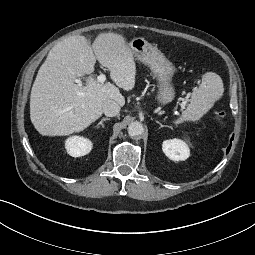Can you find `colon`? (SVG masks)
<instances>
[{
  "label": "colon",
  "instance_id": "obj_1",
  "mask_svg": "<svg viewBox=\"0 0 255 255\" xmlns=\"http://www.w3.org/2000/svg\"><path fill=\"white\" fill-rule=\"evenodd\" d=\"M214 115L219 122H223L226 116L225 112L219 108L214 110Z\"/></svg>",
  "mask_w": 255,
  "mask_h": 255
}]
</instances>
